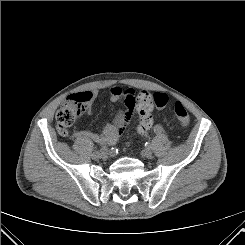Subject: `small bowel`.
Listing matches in <instances>:
<instances>
[{
	"label": "small bowel",
	"mask_w": 245,
	"mask_h": 245,
	"mask_svg": "<svg viewBox=\"0 0 245 245\" xmlns=\"http://www.w3.org/2000/svg\"><path fill=\"white\" fill-rule=\"evenodd\" d=\"M109 99L112 102H117L120 99L124 100L125 112L123 120L118 129H106L102 132H91V131H75L73 136L76 138L86 137L100 144H113L116 142L118 136L122 134L132 119L134 108L136 105V92L132 88L123 89L118 86H113L110 89ZM155 107L158 110H163L166 107L164 96L161 93H156L153 96Z\"/></svg>",
	"instance_id": "c3829d8e"
}]
</instances>
